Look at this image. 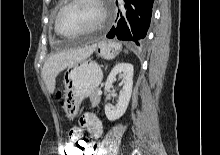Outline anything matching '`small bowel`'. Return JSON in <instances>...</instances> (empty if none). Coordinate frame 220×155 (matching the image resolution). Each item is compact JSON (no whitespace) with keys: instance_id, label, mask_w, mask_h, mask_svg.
Wrapping results in <instances>:
<instances>
[{"instance_id":"1","label":"small bowel","mask_w":220,"mask_h":155,"mask_svg":"<svg viewBox=\"0 0 220 155\" xmlns=\"http://www.w3.org/2000/svg\"><path fill=\"white\" fill-rule=\"evenodd\" d=\"M84 130H87L91 138L98 139L102 135L103 126L101 121L95 115L87 113L80 119V127L73 128L70 131V139H84ZM94 151L95 147L92 146L89 155H93Z\"/></svg>"}]
</instances>
